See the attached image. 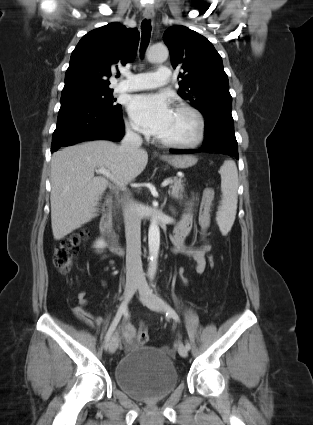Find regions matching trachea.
<instances>
[{
  "mask_svg": "<svg viewBox=\"0 0 313 425\" xmlns=\"http://www.w3.org/2000/svg\"><path fill=\"white\" fill-rule=\"evenodd\" d=\"M141 29H142V36H141V48L140 53L141 56H143L145 49L147 48L149 41H150V35H151V21L144 19L141 23Z\"/></svg>",
  "mask_w": 313,
  "mask_h": 425,
  "instance_id": "1",
  "label": "trachea"
}]
</instances>
